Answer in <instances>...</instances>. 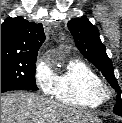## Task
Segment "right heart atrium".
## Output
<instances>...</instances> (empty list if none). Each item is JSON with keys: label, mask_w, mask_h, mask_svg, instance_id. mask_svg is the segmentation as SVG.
I'll return each instance as SVG.
<instances>
[{"label": "right heart atrium", "mask_w": 122, "mask_h": 123, "mask_svg": "<svg viewBox=\"0 0 122 123\" xmlns=\"http://www.w3.org/2000/svg\"><path fill=\"white\" fill-rule=\"evenodd\" d=\"M55 74L50 59L39 57L34 68V79L39 89L46 95L52 93Z\"/></svg>", "instance_id": "d8ad5b80"}]
</instances>
